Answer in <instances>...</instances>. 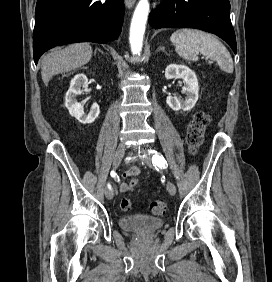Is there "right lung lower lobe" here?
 I'll return each instance as SVG.
<instances>
[{"instance_id":"obj_1","label":"right lung lower lobe","mask_w":272,"mask_h":282,"mask_svg":"<svg viewBox=\"0 0 272 282\" xmlns=\"http://www.w3.org/2000/svg\"><path fill=\"white\" fill-rule=\"evenodd\" d=\"M123 0H38L33 34L34 61L47 50L74 42L106 43L119 37Z\"/></svg>"}]
</instances>
